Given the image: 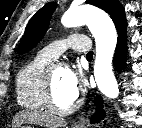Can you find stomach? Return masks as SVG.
<instances>
[{"label":"stomach","instance_id":"1","mask_svg":"<svg viewBox=\"0 0 142 128\" xmlns=\"http://www.w3.org/2000/svg\"><path fill=\"white\" fill-rule=\"evenodd\" d=\"M18 128H33V127H31V126H27V125H20Z\"/></svg>","mask_w":142,"mask_h":128}]
</instances>
